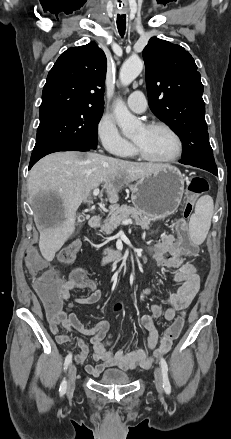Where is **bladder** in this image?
<instances>
[{"instance_id": "1", "label": "bladder", "mask_w": 231, "mask_h": 439, "mask_svg": "<svg viewBox=\"0 0 231 439\" xmlns=\"http://www.w3.org/2000/svg\"><path fill=\"white\" fill-rule=\"evenodd\" d=\"M98 381L103 385H127L132 381V378L124 371L107 369L101 374Z\"/></svg>"}]
</instances>
